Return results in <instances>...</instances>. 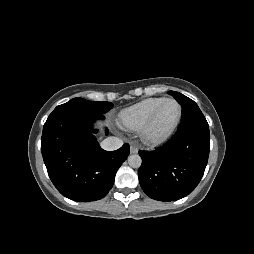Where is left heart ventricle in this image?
Returning <instances> with one entry per match:
<instances>
[{
    "instance_id": "b2bd125f",
    "label": "left heart ventricle",
    "mask_w": 254,
    "mask_h": 254,
    "mask_svg": "<svg viewBox=\"0 0 254 254\" xmlns=\"http://www.w3.org/2000/svg\"><path fill=\"white\" fill-rule=\"evenodd\" d=\"M179 108L175 102H166L160 109L151 128V135L160 136L167 132L175 123Z\"/></svg>"
}]
</instances>
